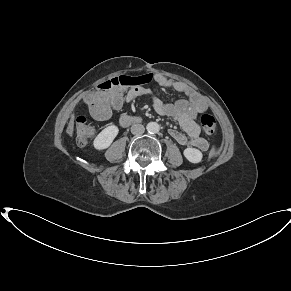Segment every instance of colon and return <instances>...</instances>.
I'll return each mask as SVG.
<instances>
[{
	"mask_svg": "<svg viewBox=\"0 0 291 291\" xmlns=\"http://www.w3.org/2000/svg\"><path fill=\"white\" fill-rule=\"evenodd\" d=\"M140 82L139 78L130 76H118L106 80L96 87V93L102 95L111 89L126 88ZM200 124L203 131L208 135H216L218 132V124L215 117L209 113H205L200 117ZM76 139L81 145L87 144L95 135V129L84 116H78L75 119Z\"/></svg>",
	"mask_w": 291,
	"mask_h": 291,
	"instance_id": "1",
	"label": "colon"
}]
</instances>
